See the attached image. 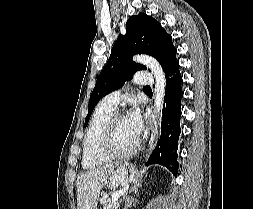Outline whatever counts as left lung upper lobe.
<instances>
[{
  "label": "left lung upper lobe",
  "instance_id": "1",
  "mask_svg": "<svg viewBox=\"0 0 253 209\" xmlns=\"http://www.w3.org/2000/svg\"><path fill=\"white\" fill-rule=\"evenodd\" d=\"M176 52L171 35L166 33L157 20L143 13L131 16L126 23V34L119 35L105 67L97 78L90 96L85 126L102 97L121 88L136 71L147 69L134 62L133 55L145 53L156 58L166 72L177 61Z\"/></svg>",
  "mask_w": 253,
  "mask_h": 209
}]
</instances>
